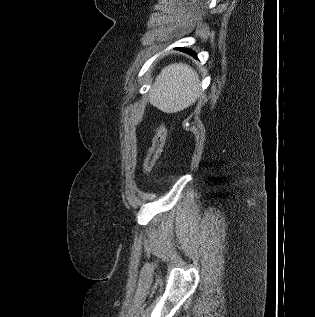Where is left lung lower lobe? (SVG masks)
I'll list each match as a JSON object with an SVG mask.
<instances>
[{"label": "left lung lower lobe", "mask_w": 315, "mask_h": 317, "mask_svg": "<svg viewBox=\"0 0 315 317\" xmlns=\"http://www.w3.org/2000/svg\"><path fill=\"white\" fill-rule=\"evenodd\" d=\"M179 49L182 50V51H185V52L189 53V54L192 55L193 57H197V55H196L193 51H191V50H189V49H185V48H179Z\"/></svg>", "instance_id": "left-lung-lower-lobe-1"}]
</instances>
